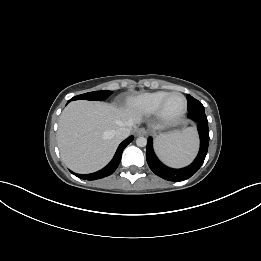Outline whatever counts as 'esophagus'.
Instances as JSON below:
<instances>
[{
  "label": "esophagus",
  "instance_id": "esophagus-1",
  "mask_svg": "<svg viewBox=\"0 0 261 261\" xmlns=\"http://www.w3.org/2000/svg\"><path fill=\"white\" fill-rule=\"evenodd\" d=\"M136 134L138 136H143V135L146 134V129L144 127L138 128L137 131H136Z\"/></svg>",
  "mask_w": 261,
  "mask_h": 261
}]
</instances>
